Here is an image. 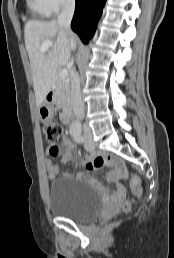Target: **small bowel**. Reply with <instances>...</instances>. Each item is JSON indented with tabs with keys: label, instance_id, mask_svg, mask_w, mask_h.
Here are the masks:
<instances>
[{
	"label": "small bowel",
	"instance_id": "c3829d8e",
	"mask_svg": "<svg viewBox=\"0 0 174 258\" xmlns=\"http://www.w3.org/2000/svg\"><path fill=\"white\" fill-rule=\"evenodd\" d=\"M48 153L53 155L51 148L48 149ZM58 154L62 155V163L74 160L77 165H83L89 171H99L103 165H109L113 168L111 178L126 176V169L117 157L101 156L96 152H92L82 159L78 158L75 145L67 137H64L62 143L57 146L56 155ZM46 167L49 179L54 181L60 169L59 165L47 160Z\"/></svg>",
	"mask_w": 174,
	"mask_h": 258
}]
</instances>
